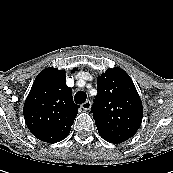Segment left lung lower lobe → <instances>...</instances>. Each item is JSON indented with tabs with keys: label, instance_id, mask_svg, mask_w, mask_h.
Returning <instances> with one entry per match:
<instances>
[{
	"label": "left lung lower lobe",
	"instance_id": "0a47b994",
	"mask_svg": "<svg viewBox=\"0 0 173 173\" xmlns=\"http://www.w3.org/2000/svg\"><path fill=\"white\" fill-rule=\"evenodd\" d=\"M106 141H107V140H106ZM108 142L113 143V144H117V143H114V142H111V141H108Z\"/></svg>",
	"mask_w": 173,
	"mask_h": 173
}]
</instances>
